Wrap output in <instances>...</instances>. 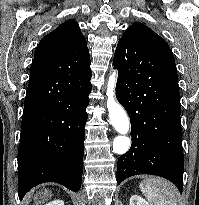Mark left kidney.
<instances>
[{
  "label": "left kidney",
  "instance_id": "1",
  "mask_svg": "<svg viewBox=\"0 0 199 205\" xmlns=\"http://www.w3.org/2000/svg\"><path fill=\"white\" fill-rule=\"evenodd\" d=\"M129 205H149L148 202L139 195H132Z\"/></svg>",
  "mask_w": 199,
  "mask_h": 205
}]
</instances>
